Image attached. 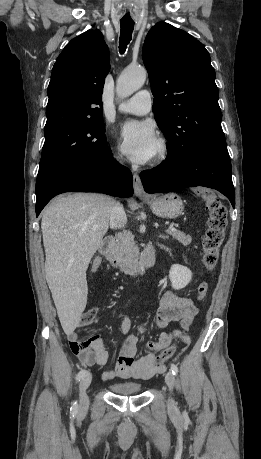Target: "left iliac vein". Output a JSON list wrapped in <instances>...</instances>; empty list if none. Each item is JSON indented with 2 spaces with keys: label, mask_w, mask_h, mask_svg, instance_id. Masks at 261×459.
Listing matches in <instances>:
<instances>
[{
  "label": "left iliac vein",
  "mask_w": 261,
  "mask_h": 459,
  "mask_svg": "<svg viewBox=\"0 0 261 459\" xmlns=\"http://www.w3.org/2000/svg\"><path fill=\"white\" fill-rule=\"evenodd\" d=\"M165 382L170 390V392L173 391V388H174V384H175V377L173 375L172 372H167L166 375H165ZM168 404L170 407H173L175 402L174 400L170 397L169 400H168Z\"/></svg>",
  "instance_id": "obj_1"
}]
</instances>
